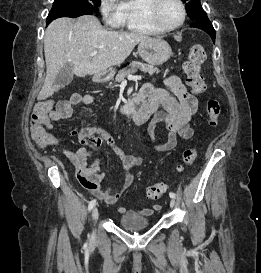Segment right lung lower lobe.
<instances>
[{
    "mask_svg": "<svg viewBox=\"0 0 261 273\" xmlns=\"http://www.w3.org/2000/svg\"><path fill=\"white\" fill-rule=\"evenodd\" d=\"M75 9L79 12V16L81 15H85L83 12H82V8L78 5H75ZM50 23V21H47V25Z\"/></svg>",
    "mask_w": 261,
    "mask_h": 273,
    "instance_id": "right-lung-lower-lobe-1",
    "label": "right lung lower lobe"
}]
</instances>
